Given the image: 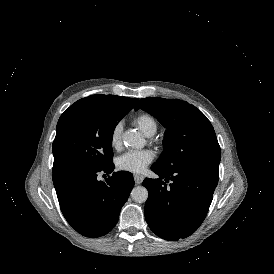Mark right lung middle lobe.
Returning <instances> with one entry per match:
<instances>
[{"mask_svg": "<svg viewBox=\"0 0 274 274\" xmlns=\"http://www.w3.org/2000/svg\"><path fill=\"white\" fill-rule=\"evenodd\" d=\"M132 108L119 103L85 106L64 112L53 142V173L113 164L112 138L118 122Z\"/></svg>", "mask_w": 274, "mask_h": 274, "instance_id": "1", "label": "right lung middle lobe"}]
</instances>
